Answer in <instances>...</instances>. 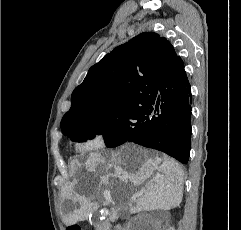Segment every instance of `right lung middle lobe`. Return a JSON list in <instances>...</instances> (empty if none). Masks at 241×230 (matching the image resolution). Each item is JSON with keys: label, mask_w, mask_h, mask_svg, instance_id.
<instances>
[{"label": "right lung middle lobe", "mask_w": 241, "mask_h": 230, "mask_svg": "<svg viewBox=\"0 0 241 230\" xmlns=\"http://www.w3.org/2000/svg\"><path fill=\"white\" fill-rule=\"evenodd\" d=\"M150 101L135 108L113 109L103 119L79 122L64 134L77 142L102 134L107 147L119 146L131 134L145 129L149 122L146 107Z\"/></svg>", "instance_id": "obj_1"}]
</instances>
